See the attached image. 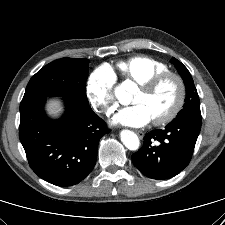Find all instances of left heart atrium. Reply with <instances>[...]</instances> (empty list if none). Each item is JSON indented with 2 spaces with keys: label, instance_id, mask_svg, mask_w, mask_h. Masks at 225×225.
Segmentation results:
<instances>
[{
  "label": "left heart atrium",
  "instance_id": "left-heart-atrium-1",
  "mask_svg": "<svg viewBox=\"0 0 225 225\" xmlns=\"http://www.w3.org/2000/svg\"><path fill=\"white\" fill-rule=\"evenodd\" d=\"M151 120V114L143 104L123 107L112 118L113 123L130 127H142Z\"/></svg>",
  "mask_w": 225,
  "mask_h": 225
}]
</instances>
